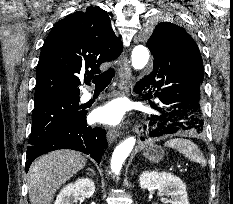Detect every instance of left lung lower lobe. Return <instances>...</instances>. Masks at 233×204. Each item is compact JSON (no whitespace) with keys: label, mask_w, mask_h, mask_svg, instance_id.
I'll use <instances>...</instances> for the list:
<instances>
[{"label":"left lung lower lobe","mask_w":233,"mask_h":204,"mask_svg":"<svg viewBox=\"0 0 233 204\" xmlns=\"http://www.w3.org/2000/svg\"><path fill=\"white\" fill-rule=\"evenodd\" d=\"M153 63V71L139 82L160 100L158 106L151 104L157 112L148 117L150 136L203 132L202 82L193 66L178 51L162 52Z\"/></svg>","instance_id":"0a47b994"}]
</instances>
